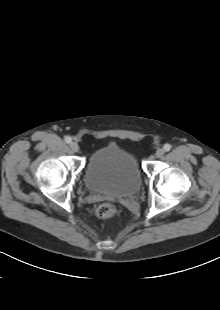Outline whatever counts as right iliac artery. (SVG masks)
I'll return each mask as SVG.
<instances>
[{
    "instance_id": "82829eb1",
    "label": "right iliac artery",
    "mask_w": 220,
    "mask_h": 310,
    "mask_svg": "<svg viewBox=\"0 0 220 310\" xmlns=\"http://www.w3.org/2000/svg\"><path fill=\"white\" fill-rule=\"evenodd\" d=\"M64 140L68 144L72 142V138L70 136H65Z\"/></svg>"
}]
</instances>
